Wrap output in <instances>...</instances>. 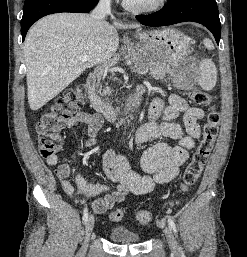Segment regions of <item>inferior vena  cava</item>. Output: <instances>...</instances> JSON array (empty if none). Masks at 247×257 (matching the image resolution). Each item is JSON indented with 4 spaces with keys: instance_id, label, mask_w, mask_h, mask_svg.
I'll list each match as a JSON object with an SVG mask.
<instances>
[{
    "instance_id": "inferior-vena-cava-1",
    "label": "inferior vena cava",
    "mask_w": 247,
    "mask_h": 257,
    "mask_svg": "<svg viewBox=\"0 0 247 257\" xmlns=\"http://www.w3.org/2000/svg\"><path fill=\"white\" fill-rule=\"evenodd\" d=\"M110 3L111 0H99V3L91 13V18L97 21H103L111 12Z\"/></svg>"
}]
</instances>
